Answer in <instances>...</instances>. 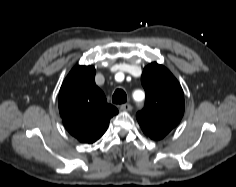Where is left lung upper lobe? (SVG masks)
Returning <instances> with one entry per match:
<instances>
[{
	"label": "left lung upper lobe",
	"instance_id": "left-lung-upper-lobe-1",
	"mask_svg": "<svg viewBox=\"0 0 236 187\" xmlns=\"http://www.w3.org/2000/svg\"><path fill=\"white\" fill-rule=\"evenodd\" d=\"M141 83L146 93L145 107L136 118L147 136L160 140L183 117V90L171 72L156 62L144 68Z\"/></svg>",
	"mask_w": 236,
	"mask_h": 187
}]
</instances>
